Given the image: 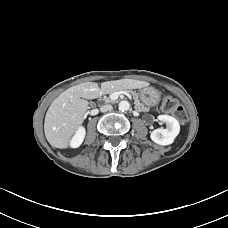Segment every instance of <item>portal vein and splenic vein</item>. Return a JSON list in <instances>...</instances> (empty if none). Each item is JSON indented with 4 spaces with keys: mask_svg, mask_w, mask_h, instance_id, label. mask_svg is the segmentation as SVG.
I'll use <instances>...</instances> for the list:
<instances>
[{
    "mask_svg": "<svg viewBox=\"0 0 228 228\" xmlns=\"http://www.w3.org/2000/svg\"><path fill=\"white\" fill-rule=\"evenodd\" d=\"M120 94L129 95L126 91L115 92V93H113V94L111 95V98H110V99H111V100H115V99L118 98V96H119Z\"/></svg>",
    "mask_w": 228,
    "mask_h": 228,
    "instance_id": "18ae733b",
    "label": "portal vein and splenic vein"
}]
</instances>
